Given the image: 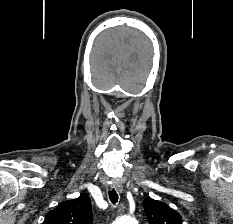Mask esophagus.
Masks as SVG:
<instances>
[{
    "mask_svg": "<svg viewBox=\"0 0 233 224\" xmlns=\"http://www.w3.org/2000/svg\"><path fill=\"white\" fill-rule=\"evenodd\" d=\"M111 188L112 189H115L116 191L118 192H122L123 191V186H122V183L118 180H114L112 185H111Z\"/></svg>",
    "mask_w": 233,
    "mask_h": 224,
    "instance_id": "obj_1",
    "label": "esophagus"
}]
</instances>
